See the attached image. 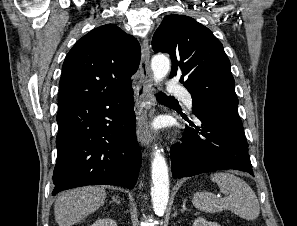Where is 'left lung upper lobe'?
Here are the masks:
<instances>
[{"mask_svg":"<svg viewBox=\"0 0 297 226\" xmlns=\"http://www.w3.org/2000/svg\"><path fill=\"white\" fill-rule=\"evenodd\" d=\"M152 47L170 54V78L180 76L192 95L194 114L210 107L237 109L230 61L208 28L188 16L168 15L156 30Z\"/></svg>","mask_w":297,"mask_h":226,"instance_id":"1","label":"left lung upper lobe"}]
</instances>
